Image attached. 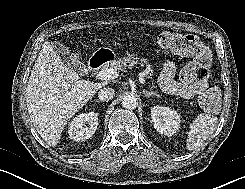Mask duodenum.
Listing matches in <instances>:
<instances>
[{
  "mask_svg": "<svg viewBox=\"0 0 245 189\" xmlns=\"http://www.w3.org/2000/svg\"><path fill=\"white\" fill-rule=\"evenodd\" d=\"M112 53L108 50H100L96 52L89 61V67L91 70H99L104 64L108 63L112 59Z\"/></svg>",
  "mask_w": 245,
  "mask_h": 189,
  "instance_id": "obj_1",
  "label": "duodenum"
}]
</instances>
